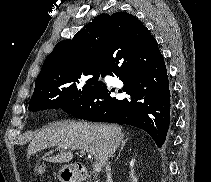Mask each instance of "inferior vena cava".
Here are the masks:
<instances>
[{
  "mask_svg": "<svg viewBox=\"0 0 211 182\" xmlns=\"http://www.w3.org/2000/svg\"><path fill=\"white\" fill-rule=\"evenodd\" d=\"M110 163H108L107 164V166H106V171H107V179H108V181L107 182H111V168H110V165H109Z\"/></svg>",
  "mask_w": 211,
  "mask_h": 182,
  "instance_id": "obj_1",
  "label": "inferior vena cava"
}]
</instances>
